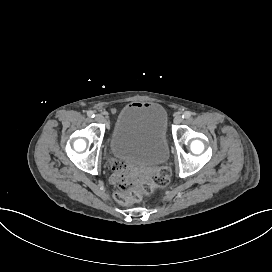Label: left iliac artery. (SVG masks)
Here are the masks:
<instances>
[{
    "mask_svg": "<svg viewBox=\"0 0 272 272\" xmlns=\"http://www.w3.org/2000/svg\"><path fill=\"white\" fill-rule=\"evenodd\" d=\"M192 113L190 111H186L183 113L182 117L184 119H189L191 117Z\"/></svg>",
    "mask_w": 272,
    "mask_h": 272,
    "instance_id": "1",
    "label": "left iliac artery"
}]
</instances>
